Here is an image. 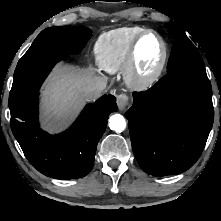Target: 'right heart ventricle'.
Listing matches in <instances>:
<instances>
[{"label": "right heart ventricle", "instance_id": "e07e8e85", "mask_svg": "<svg viewBox=\"0 0 221 221\" xmlns=\"http://www.w3.org/2000/svg\"><path fill=\"white\" fill-rule=\"evenodd\" d=\"M144 30L140 26H127L101 34L94 47L99 66L109 73L124 70L130 47Z\"/></svg>", "mask_w": 221, "mask_h": 221}]
</instances>
